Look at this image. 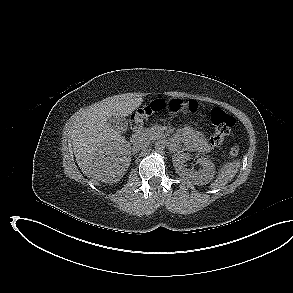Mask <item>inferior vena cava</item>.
I'll list each match as a JSON object with an SVG mask.
<instances>
[{"label": "inferior vena cava", "instance_id": "602c4592", "mask_svg": "<svg viewBox=\"0 0 293 293\" xmlns=\"http://www.w3.org/2000/svg\"><path fill=\"white\" fill-rule=\"evenodd\" d=\"M150 144V142L148 140L142 139L139 141H136L133 144V151H139L140 149H145L146 147H148Z\"/></svg>", "mask_w": 293, "mask_h": 293}]
</instances>
